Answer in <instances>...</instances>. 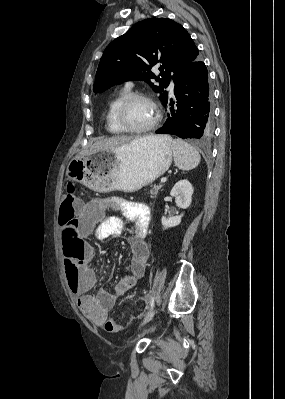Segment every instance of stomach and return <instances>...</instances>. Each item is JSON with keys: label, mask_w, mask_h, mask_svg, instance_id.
Here are the masks:
<instances>
[{"label": "stomach", "mask_w": 285, "mask_h": 399, "mask_svg": "<svg viewBox=\"0 0 285 399\" xmlns=\"http://www.w3.org/2000/svg\"><path fill=\"white\" fill-rule=\"evenodd\" d=\"M168 136L140 138L114 151L95 150L70 160L69 180L97 192L136 191L163 175L172 163Z\"/></svg>", "instance_id": "1"}]
</instances>
